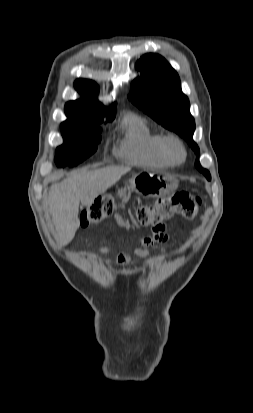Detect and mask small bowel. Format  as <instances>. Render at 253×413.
Segmentation results:
<instances>
[{"label":"small bowel","instance_id":"1","mask_svg":"<svg viewBox=\"0 0 253 413\" xmlns=\"http://www.w3.org/2000/svg\"><path fill=\"white\" fill-rule=\"evenodd\" d=\"M115 220H116L118 223H122V222H123V220H122V218H121L120 215H115ZM167 239H168V235H167L166 232H165V226L162 225V226H160L159 228L154 229V235H153V237H147V238H145V239L143 240V246H142V248L137 249V250L135 251V254H136V255H139V256H145V255H147V253H148V248L151 247V246L154 244V242L164 243V242L167 241ZM89 257L93 259V258H95V255H89ZM128 259H129V258H128L127 255L121 254V255H119V257H118V262H119V263H126V262L128 261Z\"/></svg>","mask_w":253,"mask_h":413}]
</instances>
